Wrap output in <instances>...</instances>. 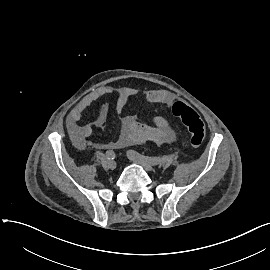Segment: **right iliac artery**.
<instances>
[{
    "label": "right iliac artery",
    "mask_w": 270,
    "mask_h": 270,
    "mask_svg": "<svg viewBox=\"0 0 270 270\" xmlns=\"http://www.w3.org/2000/svg\"><path fill=\"white\" fill-rule=\"evenodd\" d=\"M106 156H107V158L109 159V160H113L114 158H115V153H114V151L113 150H108L107 152H106Z\"/></svg>",
    "instance_id": "right-iliac-artery-1"
}]
</instances>
